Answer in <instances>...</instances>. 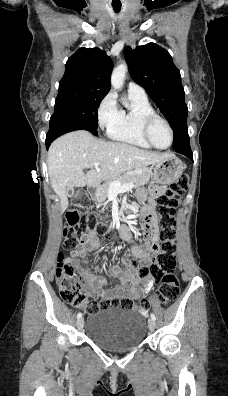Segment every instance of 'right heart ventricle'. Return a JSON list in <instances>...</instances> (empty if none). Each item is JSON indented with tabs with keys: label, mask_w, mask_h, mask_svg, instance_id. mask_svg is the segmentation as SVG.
<instances>
[{
	"label": "right heart ventricle",
	"mask_w": 228,
	"mask_h": 396,
	"mask_svg": "<svg viewBox=\"0 0 228 396\" xmlns=\"http://www.w3.org/2000/svg\"><path fill=\"white\" fill-rule=\"evenodd\" d=\"M131 105L126 110H120L118 120L107 130L111 139L130 145L151 149L141 131V121L145 115L155 113L147 97L129 94Z\"/></svg>",
	"instance_id": "right-heart-ventricle-1"
}]
</instances>
